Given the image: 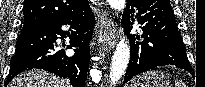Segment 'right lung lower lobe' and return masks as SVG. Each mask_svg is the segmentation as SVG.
I'll list each match as a JSON object with an SVG mask.
<instances>
[{
  "mask_svg": "<svg viewBox=\"0 0 205 87\" xmlns=\"http://www.w3.org/2000/svg\"><path fill=\"white\" fill-rule=\"evenodd\" d=\"M95 17L88 6L56 21L23 28L15 55L11 59L7 85L19 73L33 68L43 69L69 79L73 87H84L90 61L89 41ZM69 25L70 32L61 27ZM69 37L67 49L74 48L75 55L67 56L56 46L58 38Z\"/></svg>",
  "mask_w": 205,
  "mask_h": 87,
  "instance_id": "98d812e1",
  "label": "right lung lower lobe"
}]
</instances>
